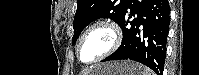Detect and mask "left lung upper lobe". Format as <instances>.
I'll use <instances>...</instances> for the list:
<instances>
[{
	"label": "left lung upper lobe",
	"instance_id": "5c2ea615",
	"mask_svg": "<svg viewBox=\"0 0 199 75\" xmlns=\"http://www.w3.org/2000/svg\"><path fill=\"white\" fill-rule=\"evenodd\" d=\"M129 2L130 0H77L72 44L87 25L99 18H110L120 24Z\"/></svg>",
	"mask_w": 199,
	"mask_h": 75
}]
</instances>
